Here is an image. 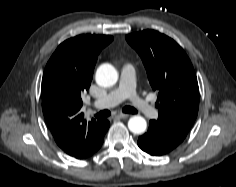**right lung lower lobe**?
I'll use <instances>...</instances> for the list:
<instances>
[{
    "label": "right lung lower lobe",
    "mask_w": 236,
    "mask_h": 187,
    "mask_svg": "<svg viewBox=\"0 0 236 187\" xmlns=\"http://www.w3.org/2000/svg\"><path fill=\"white\" fill-rule=\"evenodd\" d=\"M109 125H110V123H109L107 120H105V124H104V134H105L106 131L108 130ZM103 138H104V135H103ZM103 138H102L101 142L99 143V145L97 146V148H96V150H95L94 152H96V151L101 147V145H102V143H103ZM94 152H93V153H94Z\"/></svg>",
    "instance_id": "right-lung-lower-lobe-1"
}]
</instances>
